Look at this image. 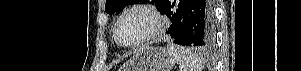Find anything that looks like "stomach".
Returning a JSON list of instances; mask_svg holds the SVG:
<instances>
[{"label":"stomach","instance_id":"obj_1","mask_svg":"<svg viewBox=\"0 0 301 71\" xmlns=\"http://www.w3.org/2000/svg\"><path fill=\"white\" fill-rule=\"evenodd\" d=\"M175 60L161 47H145L138 50L120 71H171Z\"/></svg>","mask_w":301,"mask_h":71}]
</instances>
